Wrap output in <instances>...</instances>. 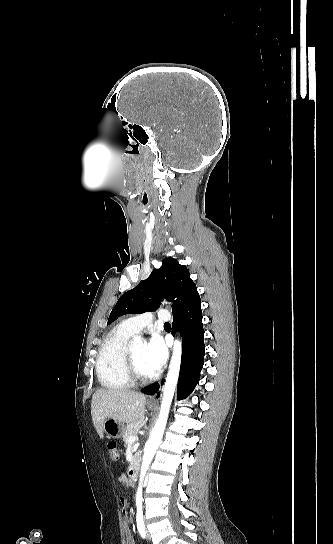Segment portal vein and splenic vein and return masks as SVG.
I'll list each match as a JSON object with an SVG mask.
<instances>
[{
  "mask_svg": "<svg viewBox=\"0 0 333 544\" xmlns=\"http://www.w3.org/2000/svg\"><path fill=\"white\" fill-rule=\"evenodd\" d=\"M137 438H138V437H137L136 435H133V436L129 437V439H128L127 442H128L129 444H132V443H134V442L137 440Z\"/></svg>",
  "mask_w": 333,
  "mask_h": 544,
  "instance_id": "obj_1",
  "label": "portal vein and splenic vein"
}]
</instances>
